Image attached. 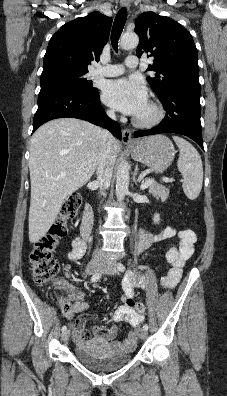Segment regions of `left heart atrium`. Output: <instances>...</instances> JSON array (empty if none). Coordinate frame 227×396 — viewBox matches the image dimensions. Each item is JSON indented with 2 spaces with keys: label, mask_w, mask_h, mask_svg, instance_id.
Returning <instances> with one entry per match:
<instances>
[{
  "label": "left heart atrium",
  "mask_w": 227,
  "mask_h": 396,
  "mask_svg": "<svg viewBox=\"0 0 227 396\" xmlns=\"http://www.w3.org/2000/svg\"><path fill=\"white\" fill-rule=\"evenodd\" d=\"M102 99L108 106L132 116H138L148 104L146 87L138 79L120 78L107 82Z\"/></svg>",
  "instance_id": "39dd6f15"
}]
</instances>
